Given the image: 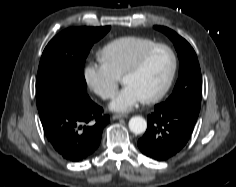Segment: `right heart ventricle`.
<instances>
[{"mask_svg":"<svg viewBox=\"0 0 236 187\" xmlns=\"http://www.w3.org/2000/svg\"><path fill=\"white\" fill-rule=\"evenodd\" d=\"M155 41L141 36H123L103 46L97 57L116 77H121L137 55Z\"/></svg>","mask_w":236,"mask_h":187,"instance_id":"e07e8e85","label":"right heart ventricle"}]
</instances>
